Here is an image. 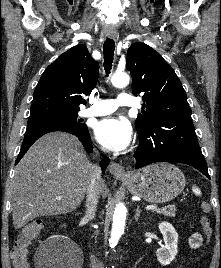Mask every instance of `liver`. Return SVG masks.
Returning a JSON list of instances; mask_svg holds the SVG:
<instances>
[{
  "label": "liver",
  "instance_id": "obj_1",
  "mask_svg": "<svg viewBox=\"0 0 221 268\" xmlns=\"http://www.w3.org/2000/svg\"><path fill=\"white\" fill-rule=\"evenodd\" d=\"M92 175L93 164L75 136L63 132L44 135L15 168L11 186L14 227L20 229L37 217L74 211L84 199ZM100 192L106 197L104 180Z\"/></svg>",
  "mask_w": 221,
  "mask_h": 268
}]
</instances>
